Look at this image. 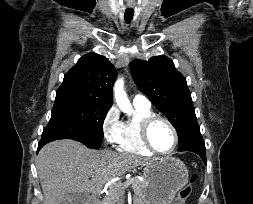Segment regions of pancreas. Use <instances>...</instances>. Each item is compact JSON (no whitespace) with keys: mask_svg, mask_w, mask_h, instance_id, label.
I'll return each instance as SVG.
<instances>
[{"mask_svg":"<svg viewBox=\"0 0 253 204\" xmlns=\"http://www.w3.org/2000/svg\"><path fill=\"white\" fill-rule=\"evenodd\" d=\"M122 183L118 182L112 184L109 187L108 195L103 199L101 204H120L122 197L124 196V187L121 186ZM132 188L136 194L140 193L142 182L134 177L133 182L131 183Z\"/></svg>","mask_w":253,"mask_h":204,"instance_id":"obj_1","label":"pancreas"}]
</instances>
